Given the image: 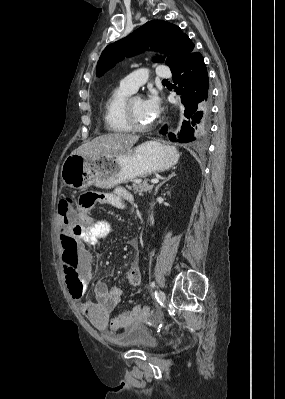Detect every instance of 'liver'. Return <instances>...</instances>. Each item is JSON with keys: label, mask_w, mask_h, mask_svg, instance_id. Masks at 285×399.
I'll list each match as a JSON object with an SVG mask.
<instances>
[{"label": "liver", "mask_w": 285, "mask_h": 399, "mask_svg": "<svg viewBox=\"0 0 285 399\" xmlns=\"http://www.w3.org/2000/svg\"><path fill=\"white\" fill-rule=\"evenodd\" d=\"M139 140V136L126 133H109L96 137L73 151L87 158L117 157L123 155Z\"/></svg>", "instance_id": "1"}]
</instances>
